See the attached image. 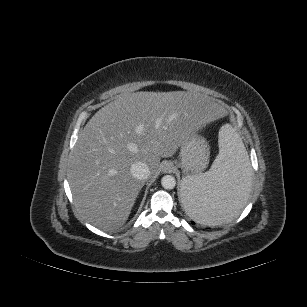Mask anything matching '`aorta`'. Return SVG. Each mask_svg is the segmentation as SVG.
<instances>
[{
  "label": "aorta",
  "instance_id": "1",
  "mask_svg": "<svg viewBox=\"0 0 307 307\" xmlns=\"http://www.w3.org/2000/svg\"><path fill=\"white\" fill-rule=\"evenodd\" d=\"M161 185L164 189L171 190L176 186V180L172 175H165L161 179Z\"/></svg>",
  "mask_w": 307,
  "mask_h": 307
}]
</instances>
